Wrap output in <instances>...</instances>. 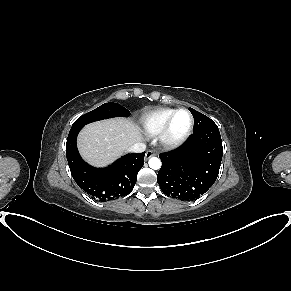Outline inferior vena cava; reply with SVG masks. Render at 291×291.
I'll return each mask as SVG.
<instances>
[{"label": "inferior vena cava", "instance_id": "obj_1", "mask_svg": "<svg viewBox=\"0 0 291 291\" xmlns=\"http://www.w3.org/2000/svg\"><path fill=\"white\" fill-rule=\"evenodd\" d=\"M145 150H146V145L141 142L135 143L128 149V151L132 153H141V152H144Z\"/></svg>", "mask_w": 291, "mask_h": 291}]
</instances>
